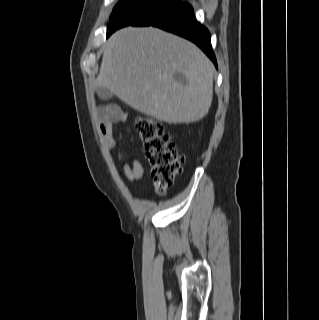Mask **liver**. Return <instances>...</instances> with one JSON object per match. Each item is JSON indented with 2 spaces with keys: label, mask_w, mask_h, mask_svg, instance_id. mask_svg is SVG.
Instances as JSON below:
<instances>
[{
  "label": "liver",
  "mask_w": 319,
  "mask_h": 320,
  "mask_svg": "<svg viewBox=\"0 0 319 320\" xmlns=\"http://www.w3.org/2000/svg\"><path fill=\"white\" fill-rule=\"evenodd\" d=\"M213 75L211 61L190 41L153 27H125L108 39L96 85L159 121L193 123L210 109Z\"/></svg>",
  "instance_id": "6515ba94"
}]
</instances>
